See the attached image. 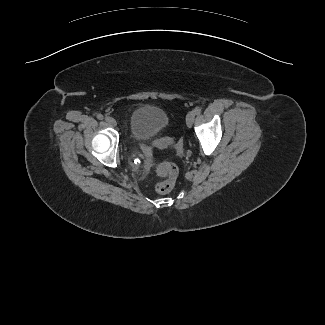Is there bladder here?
<instances>
[{
  "instance_id": "1",
  "label": "bladder",
  "mask_w": 325,
  "mask_h": 325,
  "mask_svg": "<svg viewBox=\"0 0 325 325\" xmlns=\"http://www.w3.org/2000/svg\"><path fill=\"white\" fill-rule=\"evenodd\" d=\"M169 125L170 118L163 109L156 106H139L130 116V138L133 142L146 141L164 132Z\"/></svg>"
}]
</instances>
